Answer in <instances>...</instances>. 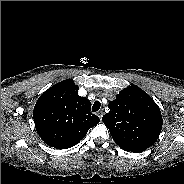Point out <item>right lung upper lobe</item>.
<instances>
[{"label": "right lung upper lobe", "mask_w": 184, "mask_h": 184, "mask_svg": "<svg viewBox=\"0 0 184 184\" xmlns=\"http://www.w3.org/2000/svg\"><path fill=\"white\" fill-rule=\"evenodd\" d=\"M73 80L61 81L46 90L37 100L33 119L37 133L49 146L67 149L84 138L99 123L91 113V103L78 95Z\"/></svg>", "instance_id": "1"}]
</instances>
